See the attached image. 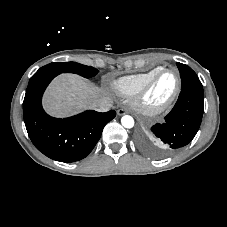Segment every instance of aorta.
I'll return each instance as SVG.
<instances>
[{
  "label": "aorta",
  "mask_w": 227,
  "mask_h": 227,
  "mask_svg": "<svg viewBox=\"0 0 227 227\" xmlns=\"http://www.w3.org/2000/svg\"><path fill=\"white\" fill-rule=\"evenodd\" d=\"M121 123L125 128H132L134 126V119L129 115H125L121 118Z\"/></svg>",
  "instance_id": "762f6f07"
}]
</instances>
